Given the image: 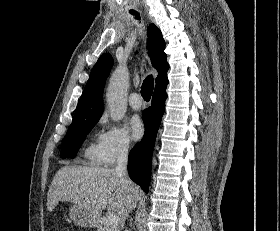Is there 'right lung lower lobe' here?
<instances>
[{
  "mask_svg": "<svg viewBox=\"0 0 280 231\" xmlns=\"http://www.w3.org/2000/svg\"><path fill=\"white\" fill-rule=\"evenodd\" d=\"M166 98L165 89L154 92L152 106L146 109L142 115L145 125L144 137L131 150L128 158L130 178L146 193H148L150 183L151 159L155 138L165 110Z\"/></svg>",
  "mask_w": 280,
  "mask_h": 231,
  "instance_id": "1",
  "label": "right lung lower lobe"
}]
</instances>
